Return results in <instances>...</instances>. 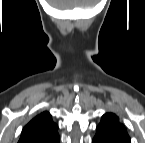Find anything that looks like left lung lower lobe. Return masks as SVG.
<instances>
[{
    "instance_id": "0a47b994",
    "label": "left lung lower lobe",
    "mask_w": 145,
    "mask_h": 143,
    "mask_svg": "<svg viewBox=\"0 0 145 143\" xmlns=\"http://www.w3.org/2000/svg\"><path fill=\"white\" fill-rule=\"evenodd\" d=\"M93 143H109L101 138H98V137H94L93 139Z\"/></svg>"
}]
</instances>
